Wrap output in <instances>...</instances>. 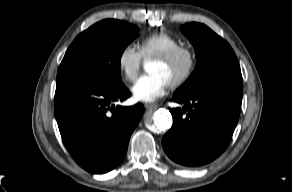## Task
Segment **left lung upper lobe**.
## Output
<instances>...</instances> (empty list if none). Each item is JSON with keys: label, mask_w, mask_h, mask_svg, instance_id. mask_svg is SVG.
<instances>
[{"label": "left lung upper lobe", "mask_w": 292, "mask_h": 192, "mask_svg": "<svg viewBox=\"0 0 292 192\" xmlns=\"http://www.w3.org/2000/svg\"><path fill=\"white\" fill-rule=\"evenodd\" d=\"M181 31L195 48L197 64L188 80L176 91L186 96L212 89H243L237 57L231 46L204 24L187 23Z\"/></svg>", "instance_id": "obj_1"}]
</instances>
